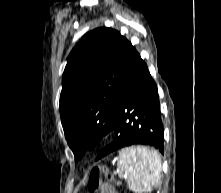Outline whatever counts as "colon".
<instances>
[{"label":"colon","mask_w":221,"mask_h":193,"mask_svg":"<svg viewBox=\"0 0 221 193\" xmlns=\"http://www.w3.org/2000/svg\"><path fill=\"white\" fill-rule=\"evenodd\" d=\"M102 176L107 180L112 181L113 175L105 167L98 166L91 170L87 178V189L90 193H94L101 189L102 187Z\"/></svg>","instance_id":"1"}]
</instances>
